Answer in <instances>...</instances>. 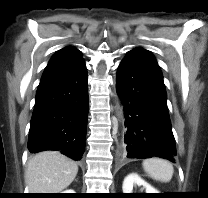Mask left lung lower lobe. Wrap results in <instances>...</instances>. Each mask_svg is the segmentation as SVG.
I'll list each match as a JSON object with an SVG mask.
<instances>
[{
  "label": "left lung lower lobe",
  "mask_w": 208,
  "mask_h": 198,
  "mask_svg": "<svg viewBox=\"0 0 208 198\" xmlns=\"http://www.w3.org/2000/svg\"><path fill=\"white\" fill-rule=\"evenodd\" d=\"M124 105L127 158L161 157L174 162L175 140L159 65L143 48L129 51L116 75Z\"/></svg>",
  "instance_id": "obj_1"
}]
</instances>
